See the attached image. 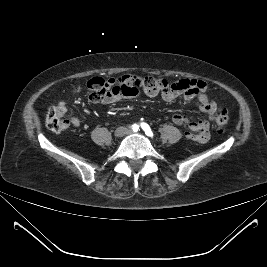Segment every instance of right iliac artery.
Here are the masks:
<instances>
[{
    "mask_svg": "<svg viewBox=\"0 0 267 267\" xmlns=\"http://www.w3.org/2000/svg\"><path fill=\"white\" fill-rule=\"evenodd\" d=\"M132 129H133L134 131H137V130L139 129V126L136 125V124H134V125H132Z\"/></svg>",
    "mask_w": 267,
    "mask_h": 267,
    "instance_id": "right-iliac-artery-1",
    "label": "right iliac artery"
}]
</instances>
